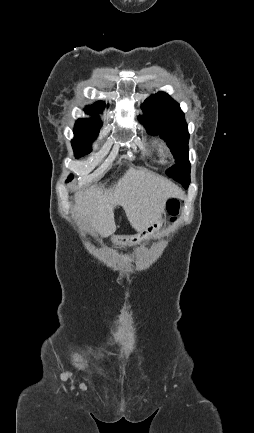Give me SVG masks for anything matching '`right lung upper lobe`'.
<instances>
[{
    "instance_id": "1",
    "label": "right lung upper lobe",
    "mask_w": 254,
    "mask_h": 433,
    "mask_svg": "<svg viewBox=\"0 0 254 433\" xmlns=\"http://www.w3.org/2000/svg\"><path fill=\"white\" fill-rule=\"evenodd\" d=\"M104 108V103L97 102L91 107H87L86 111H102Z\"/></svg>"
}]
</instances>
